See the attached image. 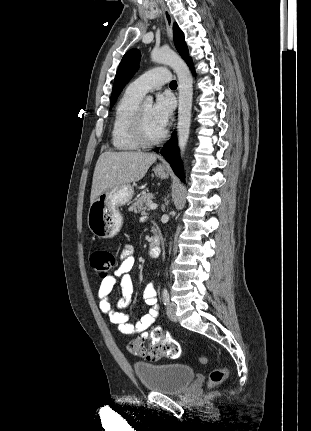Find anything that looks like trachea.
Returning <instances> with one entry per match:
<instances>
[{
    "instance_id": "1",
    "label": "trachea",
    "mask_w": 311,
    "mask_h": 431,
    "mask_svg": "<svg viewBox=\"0 0 311 431\" xmlns=\"http://www.w3.org/2000/svg\"><path fill=\"white\" fill-rule=\"evenodd\" d=\"M170 87L177 88V82L175 80H172V82H170Z\"/></svg>"
}]
</instances>
